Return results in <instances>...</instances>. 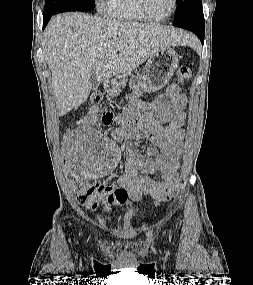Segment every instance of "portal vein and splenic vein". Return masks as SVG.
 Masks as SVG:
<instances>
[{
  "mask_svg": "<svg viewBox=\"0 0 253 285\" xmlns=\"http://www.w3.org/2000/svg\"><path fill=\"white\" fill-rule=\"evenodd\" d=\"M118 49H119V50L123 49V46H118Z\"/></svg>",
  "mask_w": 253,
  "mask_h": 285,
  "instance_id": "obj_1",
  "label": "portal vein and splenic vein"
}]
</instances>
